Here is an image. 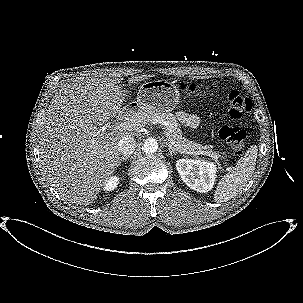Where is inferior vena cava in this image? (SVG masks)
I'll return each instance as SVG.
<instances>
[{
	"mask_svg": "<svg viewBox=\"0 0 303 303\" xmlns=\"http://www.w3.org/2000/svg\"><path fill=\"white\" fill-rule=\"evenodd\" d=\"M135 139L132 136H123L118 142V149L124 155H130L135 150Z\"/></svg>",
	"mask_w": 303,
	"mask_h": 303,
	"instance_id": "1",
	"label": "inferior vena cava"
}]
</instances>
